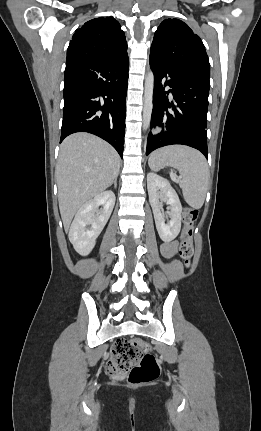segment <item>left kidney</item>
Wrapping results in <instances>:
<instances>
[{"label":"left kidney","instance_id":"5707ae66","mask_svg":"<svg viewBox=\"0 0 261 431\" xmlns=\"http://www.w3.org/2000/svg\"><path fill=\"white\" fill-rule=\"evenodd\" d=\"M147 189L158 234L164 242H170L178 236L181 230L182 205L179 197L169 182L155 173L147 174ZM159 199L166 202L171 208V220L167 224L161 213Z\"/></svg>","mask_w":261,"mask_h":431}]
</instances>
